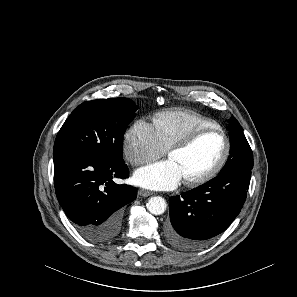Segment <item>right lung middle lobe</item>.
Returning a JSON list of instances; mask_svg holds the SVG:
<instances>
[{
  "mask_svg": "<svg viewBox=\"0 0 297 297\" xmlns=\"http://www.w3.org/2000/svg\"><path fill=\"white\" fill-rule=\"evenodd\" d=\"M137 106L128 98L87 101L67 118L57 134L53 154L83 152L124 162L123 135Z\"/></svg>",
  "mask_w": 297,
  "mask_h": 297,
  "instance_id": "right-lung-middle-lobe-1",
  "label": "right lung middle lobe"
}]
</instances>
